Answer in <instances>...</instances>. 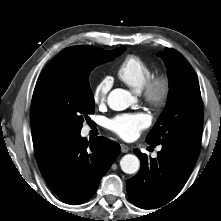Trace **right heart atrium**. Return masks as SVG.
<instances>
[{
  "mask_svg": "<svg viewBox=\"0 0 221 221\" xmlns=\"http://www.w3.org/2000/svg\"><path fill=\"white\" fill-rule=\"evenodd\" d=\"M112 87V79L109 76L101 78L93 88L92 100L96 105H104Z\"/></svg>",
  "mask_w": 221,
  "mask_h": 221,
  "instance_id": "d8ad5b80",
  "label": "right heart atrium"
}]
</instances>
